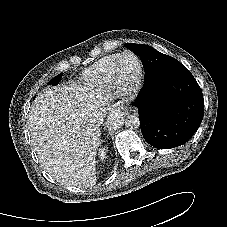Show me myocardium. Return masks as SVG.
I'll return each instance as SVG.
<instances>
[{"label":"myocardium","instance_id":"myocardium-1","mask_svg":"<svg viewBox=\"0 0 227 227\" xmlns=\"http://www.w3.org/2000/svg\"><path fill=\"white\" fill-rule=\"evenodd\" d=\"M126 56L133 57L137 63L136 76L129 83H123L118 74L120 62ZM142 77H143L142 61L137 54L130 52V51H126V52H123L122 54H120L111 69V82L126 94H131L139 88L141 81H142Z\"/></svg>","mask_w":227,"mask_h":227}]
</instances>
